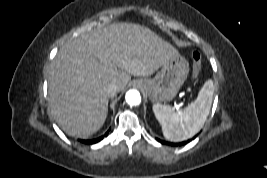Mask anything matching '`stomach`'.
Returning <instances> with one entry per match:
<instances>
[{
	"instance_id": "stomach-1",
	"label": "stomach",
	"mask_w": 267,
	"mask_h": 178,
	"mask_svg": "<svg viewBox=\"0 0 267 178\" xmlns=\"http://www.w3.org/2000/svg\"><path fill=\"white\" fill-rule=\"evenodd\" d=\"M188 73V61L175 53L161 65L153 78H141L135 83L146 92L152 102H167L176 96Z\"/></svg>"
}]
</instances>
